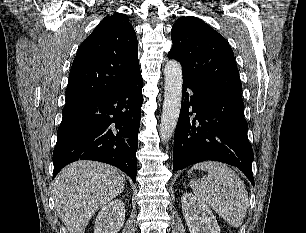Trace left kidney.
Here are the masks:
<instances>
[{
    "label": "left kidney",
    "instance_id": "1",
    "mask_svg": "<svg viewBox=\"0 0 306 233\" xmlns=\"http://www.w3.org/2000/svg\"><path fill=\"white\" fill-rule=\"evenodd\" d=\"M184 219L190 233H220V227L210 208L191 193L181 198Z\"/></svg>",
    "mask_w": 306,
    "mask_h": 233
}]
</instances>
